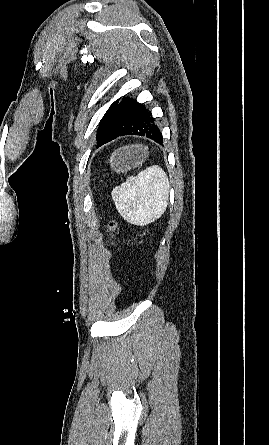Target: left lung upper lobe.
<instances>
[{"mask_svg": "<svg viewBox=\"0 0 269 445\" xmlns=\"http://www.w3.org/2000/svg\"><path fill=\"white\" fill-rule=\"evenodd\" d=\"M119 100L115 101L110 108L108 109V111L105 113L104 117L102 118L100 124H99V128L97 130V136L100 134V132L102 131V129L104 128V126L106 125V123L108 122L110 116L112 115L113 111L115 110L117 104H118Z\"/></svg>", "mask_w": 269, "mask_h": 445, "instance_id": "obj_1", "label": "left lung upper lobe"}]
</instances>
